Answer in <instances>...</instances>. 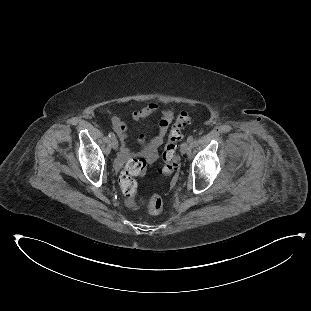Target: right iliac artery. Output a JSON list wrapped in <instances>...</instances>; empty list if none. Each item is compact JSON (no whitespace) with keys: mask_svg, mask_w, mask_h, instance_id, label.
Returning <instances> with one entry per match:
<instances>
[{"mask_svg":"<svg viewBox=\"0 0 311 311\" xmlns=\"http://www.w3.org/2000/svg\"><path fill=\"white\" fill-rule=\"evenodd\" d=\"M108 136H109V138H115V134L113 133V132H109V134H108Z\"/></svg>","mask_w":311,"mask_h":311,"instance_id":"1","label":"right iliac artery"}]
</instances>
